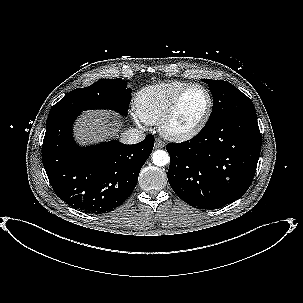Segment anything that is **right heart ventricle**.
Returning <instances> with one entry per match:
<instances>
[{
    "instance_id": "e07e8e85",
    "label": "right heart ventricle",
    "mask_w": 303,
    "mask_h": 303,
    "mask_svg": "<svg viewBox=\"0 0 303 303\" xmlns=\"http://www.w3.org/2000/svg\"><path fill=\"white\" fill-rule=\"evenodd\" d=\"M189 84L184 81H170L143 87L134 100L138 116L146 124L157 123L175 97Z\"/></svg>"
}]
</instances>
